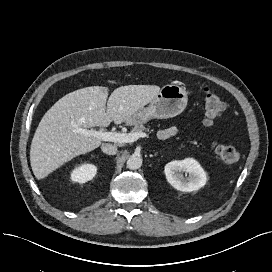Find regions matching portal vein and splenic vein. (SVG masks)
<instances>
[{
    "mask_svg": "<svg viewBox=\"0 0 272 272\" xmlns=\"http://www.w3.org/2000/svg\"><path fill=\"white\" fill-rule=\"evenodd\" d=\"M76 132L86 135L94 136L103 141L117 142V143H132L137 141L139 138L148 137V134L144 132H131V133H117V132H106L103 130H93L76 128Z\"/></svg>",
    "mask_w": 272,
    "mask_h": 272,
    "instance_id": "1",
    "label": "portal vein and splenic vein"
}]
</instances>
